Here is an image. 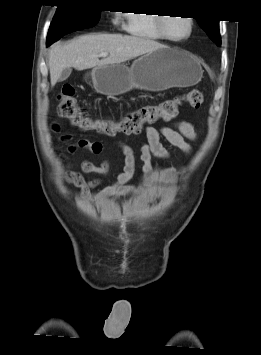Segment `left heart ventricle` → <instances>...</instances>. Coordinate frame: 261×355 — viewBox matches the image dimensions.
Instances as JSON below:
<instances>
[{"label": "left heart ventricle", "mask_w": 261, "mask_h": 355, "mask_svg": "<svg viewBox=\"0 0 261 355\" xmlns=\"http://www.w3.org/2000/svg\"><path fill=\"white\" fill-rule=\"evenodd\" d=\"M166 30L169 36L181 38L188 34L189 23L184 17H171L167 19Z\"/></svg>", "instance_id": "b2bd125f"}]
</instances>
